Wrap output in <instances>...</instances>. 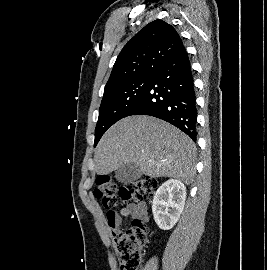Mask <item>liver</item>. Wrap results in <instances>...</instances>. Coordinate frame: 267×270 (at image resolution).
Listing matches in <instances>:
<instances>
[{"label": "liver", "mask_w": 267, "mask_h": 270, "mask_svg": "<svg viewBox=\"0 0 267 270\" xmlns=\"http://www.w3.org/2000/svg\"><path fill=\"white\" fill-rule=\"evenodd\" d=\"M196 146L183 132L160 119L136 115L119 120L103 135L95 154V172L106 175L135 163L142 174L192 182Z\"/></svg>", "instance_id": "6515ba94"}]
</instances>
